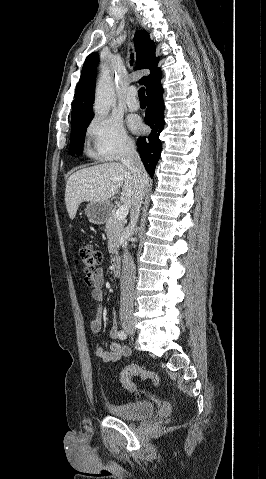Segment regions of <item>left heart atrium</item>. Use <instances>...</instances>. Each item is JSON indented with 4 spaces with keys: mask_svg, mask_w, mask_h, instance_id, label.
Wrapping results in <instances>:
<instances>
[{
    "mask_svg": "<svg viewBox=\"0 0 266 479\" xmlns=\"http://www.w3.org/2000/svg\"><path fill=\"white\" fill-rule=\"evenodd\" d=\"M130 126H131V128H132L133 130H135V131H137V130H139V129L141 128L140 122H139L138 120H136V119L131 120Z\"/></svg>",
    "mask_w": 266,
    "mask_h": 479,
    "instance_id": "39dd6f15",
    "label": "left heart atrium"
}]
</instances>
